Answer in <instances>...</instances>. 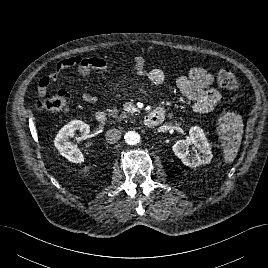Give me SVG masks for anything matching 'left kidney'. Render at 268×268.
<instances>
[{
    "instance_id": "1",
    "label": "left kidney",
    "mask_w": 268,
    "mask_h": 268,
    "mask_svg": "<svg viewBox=\"0 0 268 268\" xmlns=\"http://www.w3.org/2000/svg\"><path fill=\"white\" fill-rule=\"evenodd\" d=\"M190 137L186 140H178L173 145L175 155L189 167H199L211 162L212 152L210 144L203 132L197 126H193L189 130ZM192 146V149H190Z\"/></svg>"
}]
</instances>
